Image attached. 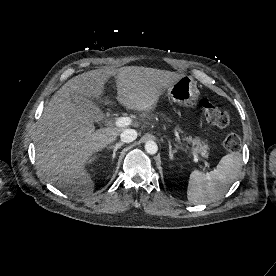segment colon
Masks as SVG:
<instances>
[{
	"label": "colon",
	"mask_w": 276,
	"mask_h": 276,
	"mask_svg": "<svg viewBox=\"0 0 276 276\" xmlns=\"http://www.w3.org/2000/svg\"><path fill=\"white\" fill-rule=\"evenodd\" d=\"M206 121L218 128H226L229 125L230 119L226 112L216 107L209 99L201 100ZM223 146L230 152H237L241 148L240 137L236 134H228L223 139Z\"/></svg>",
	"instance_id": "obj_1"
}]
</instances>
